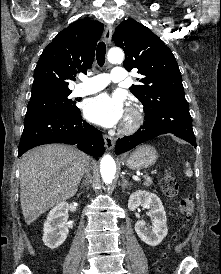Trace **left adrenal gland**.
I'll list each match as a JSON object with an SVG mask.
<instances>
[{
    "label": "left adrenal gland",
    "instance_id": "obj_1",
    "mask_svg": "<svg viewBox=\"0 0 221 274\" xmlns=\"http://www.w3.org/2000/svg\"><path fill=\"white\" fill-rule=\"evenodd\" d=\"M131 185H132V184L129 183V182L125 179L124 176H122V185H121L122 189H125L126 187L131 186Z\"/></svg>",
    "mask_w": 221,
    "mask_h": 274
}]
</instances>
